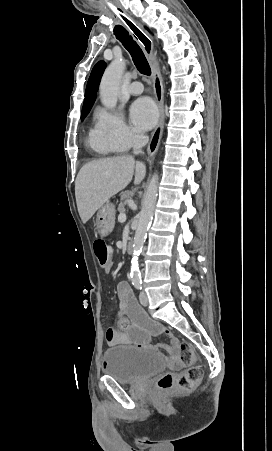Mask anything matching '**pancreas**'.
I'll return each mask as SVG.
<instances>
[{
  "label": "pancreas",
  "instance_id": "obj_1",
  "mask_svg": "<svg viewBox=\"0 0 272 451\" xmlns=\"http://www.w3.org/2000/svg\"><path fill=\"white\" fill-rule=\"evenodd\" d=\"M127 198H130V194H123V196H121V200H127ZM118 212H120V214H123V212H126L125 202H121V204H119Z\"/></svg>",
  "mask_w": 272,
  "mask_h": 451
}]
</instances>
